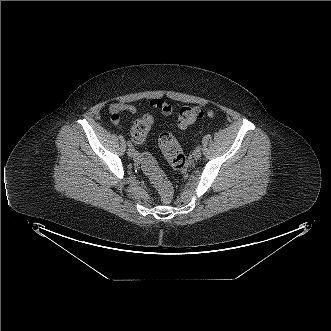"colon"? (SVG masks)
<instances>
[{
    "mask_svg": "<svg viewBox=\"0 0 331 331\" xmlns=\"http://www.w3.org/2000/svg\"><path fill=\"white\" fill-rule=\"evenodd\" d=\"M205 115L212 116V112H205L197 106H185L178 113V125L187 128ZM153 124V117L145 114L135 121L132 128V138L135 143H142ZM159 146L163 151L169 165L177 171H182L187 167V158L184 155L177 139L168 132L160 134ZM141 168L149 178L151 184L157 189L163 203H169L173 198V188L165 174L160 170L155 159L149 154L141 156Z\"/></svg>",
    "mask_w": 331,
    "mask_h": 331,
    "instance_id": "1",
    "label": "colon"
}]
</instances>
